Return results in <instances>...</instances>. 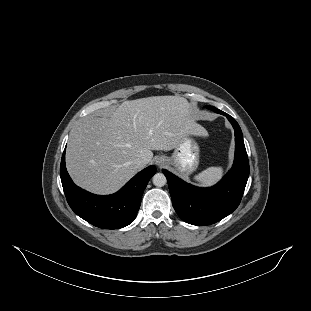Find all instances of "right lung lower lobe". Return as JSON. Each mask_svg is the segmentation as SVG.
<instances>
[{
  "label": "right lung lower lobe",
  "instance_id": "obj_1",
  "mask_svg": "<svg viewBox=\"0 0 311 311\" xmlns=\"http://www.w3.org/2000/svg\"><path fill=\"white\" fill-rule=\"evenodd\" d=\"M151 165L136 174L117 193L95 195L76 186L65 166V150L60 165V176L67 202L71 209L90 224L103 229H119L136 217L144 189L155 174Z\"/></svg>",
  "mask_w": 311,
  "mask_h": 311
}]
</instances>
